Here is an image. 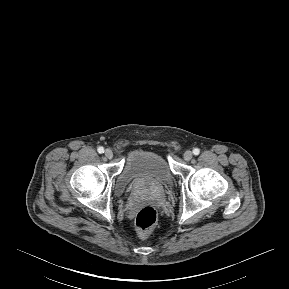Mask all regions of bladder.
<instances>
[{
  "instance_id": "31cf9c89",
  "label": "bladder",
  "mask_w": 289,
  "mask_h": 289,
  "mask_svg": "<svg viewBox=\"0 0 289 289\" xmlns=\"http://www.w3.org/2000/svg\"><path fill=\"white\" fill-rule=\"evenodd\" d=\"M167 161L158 153L147 150L131 152L116 179L115 192L122 195L130 189H165L173 184Z\"/></svg>"
}]
</instances>
